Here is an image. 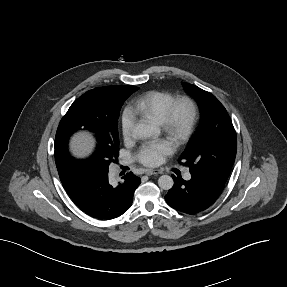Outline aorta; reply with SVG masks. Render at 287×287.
Returning a JSON list of instances; mask_svg holds the SVG:
<instances>
[{
  "label": "aorta",
  "mask_w": 287,
  "mask_h": 287,
  "mask_svg": "<svg viewBox=\"0 0 287 287\" xmlns=\"http://www.w3.org/2000/svg\"><path fill=\"white\" fill-rule=\"evenodd\" d=\"M155 127L147 123H139L134 128V133L138 137L147 138L154 134ZM158 185L161 189L169 190L173 187L174 181L169 175H162L158 179Z\"/></svg>",
  "instance_id": "1"
}]
</instances>
